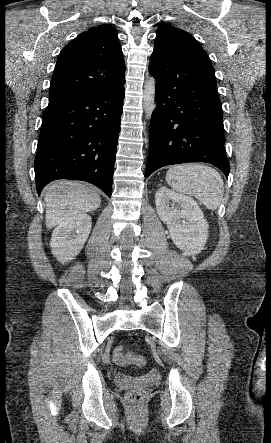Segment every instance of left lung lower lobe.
I'll return each mask as SVG.
<instances>
[{
    "label": "left lung lower lobe",
    "instance_id": "left-lung-lower-lobe-1",
    "mask_svg": "<svg viewBox=\"0 0 271 443\" xmlns=\"http://www.w3.org/2000/svg\"><path fill=\"white\" fill-rule=\"evenodd\" d=\"M156 80L146 177L167 165L206 162L226 177L222 105L212 65L153 51Z\"/></svg>",
    "mask_w": 271,
    "mask_h": 443
}]
</instances>
